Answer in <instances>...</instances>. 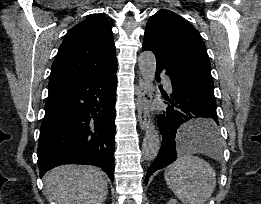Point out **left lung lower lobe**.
<instances>
[{
	"label": "left lung lower lobe",
	"mask_w": 261,
	"mask_h": 204,
	"mask_svg": "<svg viewBox=\"0 0 261 204\" xmlns=\"http://www.w3.org/2000/svg\"><path fill=\"white\" fill-rule=\"evenodd\" d=\"M166 70L171 79L173 92L170 97L162 93L167 105L158 118V126L162 135L161 149L149 167L145 182L152 173L162 169L177 159V151L181 145L191 146L197 141H215L218 138V116L213 89L194 79L180 76L164 66L157 64L156 80L160 82V72ZM196 118L202 122L191 132L182 133L181 125ZM205 118V119H203Z\"/></svg>",
	"instance_id": "obj_1"
}]
</instances>
